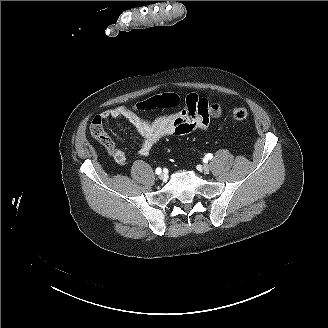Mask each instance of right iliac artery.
<instances>
[{
	"label": "right iliac artery",
	"instance_id": "82829eb1",
	"mask_svg": "<svg viewBox=\"0 0 328 328\" xmlns=\"http://www.w3.org/2000/svg\"><path fill=\"white\" fill-rule=\"evenodd\" d=\"M155 173L159 175L161 173V168H156Z\"/></svg>",
	"mask_w": 328,
	"mask_h": 328
}]
</instances>
